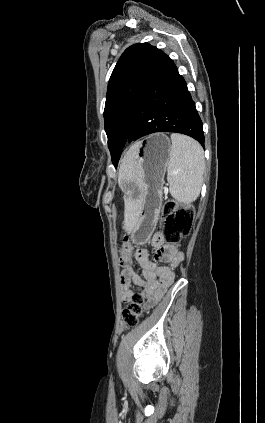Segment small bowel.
<instances>
[{
    "label": "small bowel",
    "mask_w": 265,
    "mask_h": 423,
    "mask_svg": "<svg viewBox=\"0 0 265 423\" xmlns=\"http://www.w3.org/2000/svg\"><path fill=\"white\" fill-rule=\"evenodd\" d=\"M151 245L156 248L155 261L149 259L146 249H138L128 255H121L120 287L121 298L125 303L131 301L134 294L132 285L139 287V294L146 299L145 308H152L162 299L166 289L174 282V269L182 262L183 252L177 248L166 245L161 232H155L151 237ZM134 254L142 269L139 275L133 268L132 255Z\"/></svg>",
    "instance_id": "c3829d8e"
}]
</instances>
